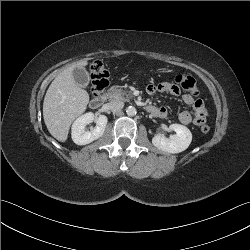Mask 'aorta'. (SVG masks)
Returning a JSON list of instances; mask_svg holds the SVG:
<instances>
[{
    "label": "aorta",
    "mask_w": 250,
    "mask_h": 250,
    "mask_svg": "<svg viewBox=\"0 0 250 250\" xmlns=\"http://www.w3.org/2000/svg\"><path fill=\"white\" fill-rule=\"evenodd\" d=\"M126 113H127L128 116H134V115H136L137 111H136L135 107L129 106L126 109Z\"/></svg>",
    "instance_id": "762f6f07"
}]
</instances>
